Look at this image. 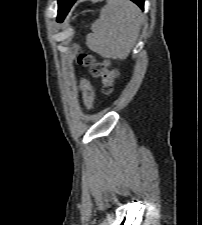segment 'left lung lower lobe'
<instances>
[{
  "label": "left lung lower lobe",
  "mask_w": 202,
  "mask_h": 225,
  "mask_svg": "<svg viewBox=\"0 0 202 225\" xmlns=\"http://www.w3.org/2000/svg\"><path fill=\"white\" fill-rule=\"evenodd\" d=\"M134 3H136L141 9H143L144 6V0H131Z\"/></svg>",
  "instance_id": "left-lung-lower-lobe-1"
}]
</instances>
